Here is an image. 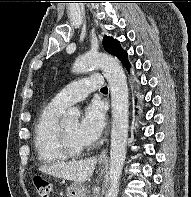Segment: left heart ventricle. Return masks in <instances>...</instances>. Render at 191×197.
<instances>
[{
	"instance_id": "obj_1",
	"label": "left heart ventricle",
	"mask_w": 191,
	"mask_h": 197,
	"mask_svg": "<svg viewBox=\"0 0 191 197\" xmlns=\"http://www.w3.org/2000/svg\"><path fill=\"white\" fill-rule=\"evenodd\" d=\"M78 123L77 122H70V123H66L63 125L65 131L67 132L71 142L76 145V146H85V144H83L77 136V130H78Z\"/></svg>"
}]
</instances>
